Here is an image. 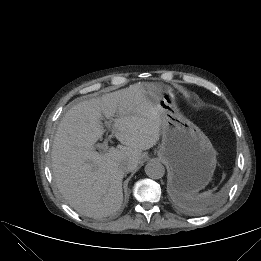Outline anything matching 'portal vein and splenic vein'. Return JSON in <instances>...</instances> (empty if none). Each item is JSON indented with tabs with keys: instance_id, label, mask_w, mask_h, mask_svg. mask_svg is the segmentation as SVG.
Masks as SVG:
<instances>
[{
	"instance_id": "portal-vein-and-splenic-vein-1",
	"label": "portal vein and splenic vein",
	"mask_w": 261,
	"mask_h": 261,
	"mask_svg": "<svg viewBox=\"0 0 261 261\" xmlns=\"http://www.w3.org/2000/svg\"><path fill=\"white\" fill-rule=\"evenodd\" d=\"M111 121L106 123V126L110 128ZM99 148L101 149V154H105L108 152L109 147H108V140L106 139L102 144L99 145Z\"/></svg>"
}]
</instances>
